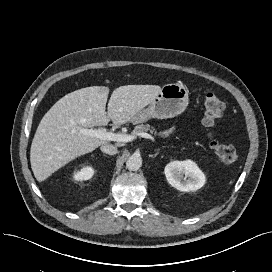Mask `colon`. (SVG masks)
I'll return each instance as SVG.
<instances>
[{
  "mask_svg": "<svg viewBox=\"0 0 272 272\" xmlns=\"http://www.w3.org/2000/svg\"><path fill=\"white\" fill-rule=\"evenodd\" d=\"M225 109L224 102L212 91H207L204 98L203 125L212 129L220 120ZM209 145L220 160L225 163H233L238 160L239 154L236 149L218 138L212 132H209Z\"/></svg>",
  "mask_w": 272,
  "mask_h": 272,
  "instance_id": "5ec220e1",
  "label": "colon"
}]
</instances>
